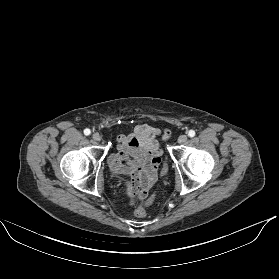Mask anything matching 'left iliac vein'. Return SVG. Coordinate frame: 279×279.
<instances>
[{
    "mask_svg": "<svg viewBox=\"0 0 279 279\" xmlns=\"http://www.w3.org/2000/svg\"><path fill=\"white\" fill-rule=\"evenodd\" d=\"M187 140H188L187 135H181V136L178 138V143H179V144H184V143L187 142Z\"/></svg>",
    "mask_w": 279,
    "mask_h": 279,
    "instance_id": "1",
    "label": "left iliac vein"
}]
</instances>
